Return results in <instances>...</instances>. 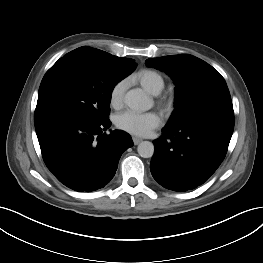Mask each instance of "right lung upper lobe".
<instances>
[{"instance_id":"right-lung-upper-lobe-1","label":"right lung upper lobe","mask_w":263,"mask_h":263,"mask_svg":"<svg viewBox=\"0 0 263 263\" xmlns=\"http://www.w3.org/2000/svg\"><path fill=\"white\" fill-rule=\"evenodd\" d=\"M79 50H84V51H88L94 55H97V56H100V57H103L105 59H108V60H113V61H118V62H130V63H134V60L133 59H130V58H120V57H117V56H114V55H111L107 52H104L102 50H99V49H94V48H90V47H80L78 48Z\"/></svg>"}]
</instances>
